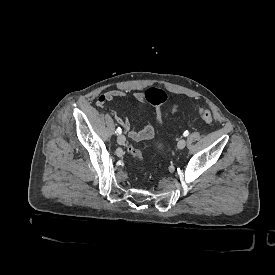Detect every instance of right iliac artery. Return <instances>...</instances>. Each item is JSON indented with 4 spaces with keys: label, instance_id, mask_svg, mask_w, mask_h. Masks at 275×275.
<instances>
[{
    "label": "right iliac artery",
    "instance_id": "1",
    "mask_svg": "<svg viewBox=\"0 0 275 275\" xmlns=\"http://www.w3.org/2000/svg\"><path fill=\"white\" fill-rule=\"evenodd\" d=\"M116 133H117V134H121V133H122V130H121L120 127L117 128Z\"/></svg>",
    "mask_w": 275,
    "mask_h": 275
}]
</instances>
